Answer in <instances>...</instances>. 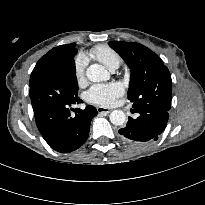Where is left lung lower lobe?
Listing matches in <instances>:
<instances>
[{
	"mask_svg": "<svg viewBox=\"0 0 205 205\" xmlns=\"http://www.w3.org/2000/svg\"><path fill=\"white\" fill-rule=\"evenodd\" d=\"M139 117H129L124 128L119 129L121 139L135 146H142L158 139L165 130L169 113L158 108L134 109Z\"/></svg>",
	"mask_w": 205,
	"mask_h": 205,
	"instance_id": "left-lung-lower-lobe-1",
	"label": "left lung lower lobe"
}]
</instances>
